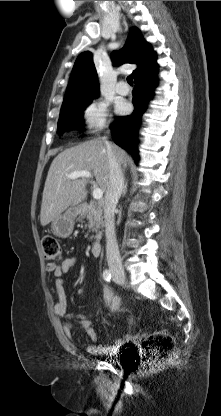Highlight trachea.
<instances>
[{"label": "trachea", "instance_id": "1", "mask_svg": "<svg viewBox=\"0 0 221 416\" xmlns=\"http://www.w3.org/2000/svg\"><path fill=\"white\" fill-rule=\"evenodd\" d=\"M127 82L132 86L133 85V76L132 75H129L128 77H127Z\"/></svg>", "mask_w": 221, "mask_h": 416}]
</instances>
